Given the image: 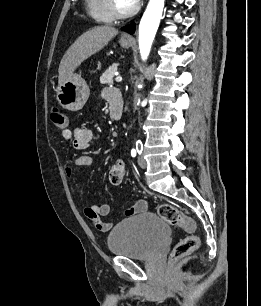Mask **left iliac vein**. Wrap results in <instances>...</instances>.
<instances>
[{"label": "left iliac vein", "mask_w": 261, "mask_h": 306, "mask_svg": "<svg viewBox=\"0 0 261 306\" xmlns=\"http://www.w3.org/2000/svg\"><path fill=\"white\" fill-rule=\"evenodd\" d=\"M138 165L142 168V169H145L147 167V162L146 160L142 157V156H139L138 159Z\"/></svg>", "instance_id": "obj_1"}]
</instances>
